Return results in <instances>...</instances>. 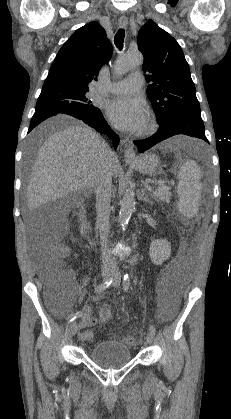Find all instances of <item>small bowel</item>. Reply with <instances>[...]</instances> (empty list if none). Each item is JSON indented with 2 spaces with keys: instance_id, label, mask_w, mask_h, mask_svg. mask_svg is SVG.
<instances>
[{
  "instance_id": "small-bowel-1",
  "label": "small bowel",
  "mask_w": 231,
  "mask_h": 419,
  "mask_svg": "<svg viewBox=\"0 0 231 419\" xmlns=\"http://www.w3.org/2000/svg\"><path fill=\"white\" fill-rule=\"evenodd\" d=\"M167 269L162 273L158 283L157 292L160 298L162 313L165 316H172L179 305V291L173 280L168 278ZM97 323V319L91 316L89 307L83 308V317L80 322L82 331V338L85 341L91 340L93 333L89 330L90 327Z\"/></svg>"
}]
</instances>
